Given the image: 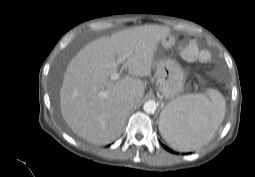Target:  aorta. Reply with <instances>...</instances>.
Wrapping results in <instances>:
<instances>
[{
	"label": "aorta",
	"mask_w": 255,
	"mask_h": 177,
	"mask_svg": "<svg viewBox=\"0 0 255 177\" xmlns=\"http://www.w3.org/2000/svg\"><path fill=\"white\" fill-rule=\"evenodd\" d=\"M143 109L146 113L152 114L156 111L157 109V104L155 101L153 100H149L147 102L144 103L143 105Z\"/></svg>",
	"instance_id": "1"
}]
</instances>
